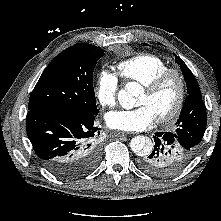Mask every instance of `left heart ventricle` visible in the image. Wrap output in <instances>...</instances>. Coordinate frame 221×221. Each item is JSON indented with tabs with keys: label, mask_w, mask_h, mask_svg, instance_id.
<instances>
[{
	"label": "left heart ventricle",
	"mask_w": 221,
	"mask_h": 221,
	"mask_svg": "<svg viewBox=\"0 0 221 221\" xmlns=\"http://www.w3.org/2000/svg\"><path fill=\"white\" fill-rule=\"evenodd\" d=\"M178 96V82L176 78L170 77L164 85L154 94H149L145 90L139 95L136 104L138 106H148L155 117L167 113L175 104Z\"/></svg>",
	"instance_id": "1"
}]
</instances>
